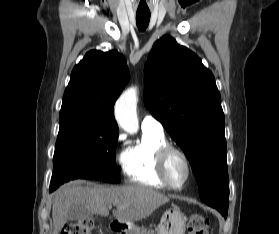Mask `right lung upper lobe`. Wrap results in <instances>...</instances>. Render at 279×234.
Listing matches in <instances>:
<instances>
[{
  "instance_id": "1",
  "label": "right lung upper lobe",
  "mask_w": 279,
  "mask_h": 234,
  "mask_svg": "<svg viewBox=\"0 0 279 234\" xmlns=\"http://www.w3.org/2000/svg\"><path fill=\"white\" fill-rule=\"evenodd\" d=\"M129 78L126 60L116 50L89 51L73 68L60 117L82 116L102 128L118 130L113 107Z\"/></svg>"
}]
</instances>
